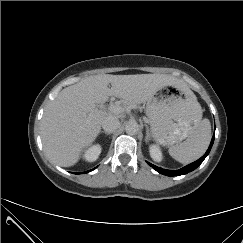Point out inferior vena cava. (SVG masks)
Segmentation results:
<instances>
[{
	"mask_svg": "<svg viewBox=\"0 0 243 243\" xmlns=\"http://www.w3.org/2000/svg\"><path fill=\"white\" fill-rule=\"evenodd\" d=\"M120 125L119 119L115 116H107L102 121V128L105 132H113Z\"/></svg>",
	"mask_w": 243,
	"mask_h": 243,
	"instance_id": "inferior-vena-cava-1",
	"label": "inferior vena cava"
}]
</instances>
